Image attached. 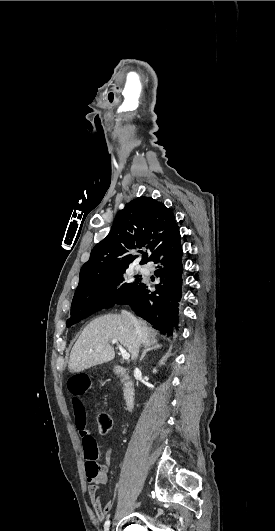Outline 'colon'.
<instances>
[{
	"label": "colon",
	"mask_w": 275,
	"mask_h": 531,
	"mask_svg": "<svg viewBox=\"0 0 275 531\" xmlns=\"http://www.w3.org/2000/svg\"><path fill=\"white\" fill-rule=\"evenodd\" d=\"M81 377H92L90 375H83ZM96 423L101 434H106L112 427V420L108 413L98 412L96 414Z\"/></svg>",
	"instance_id": "1"
}]
</instances>
